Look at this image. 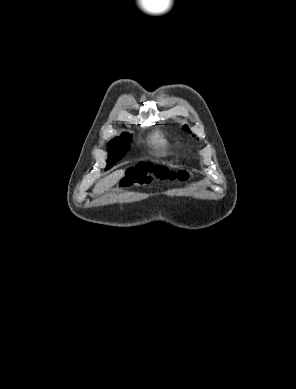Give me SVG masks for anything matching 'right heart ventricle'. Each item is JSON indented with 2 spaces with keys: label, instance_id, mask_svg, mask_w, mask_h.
<instances>
[{
  "label": "right heart ventricle",
  "instance_id": "obj_1",
  "mask_svg": "<svg viewBox=\"0 0 296 389\" xmlns=\"http://www.w3.org/2000/svg\"><path fill=\"white\" fill-rule=\"evenodd\" d=\"M150 143L155 149L162 153H166L169 150L168 140L160 133H154L150 137Z\"/></svg>",
  "mask_w": 296,
  "mask_h": 389
}]
</instances>
